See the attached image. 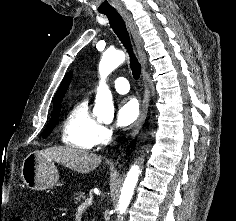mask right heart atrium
Listing matches in <instances>:
<instances>
[{
  "mask_svg": "<svg viewBox=\"0 0 236 221\" xmlns=\"http://www.w3.org/2000/svg\"><path fill=\"white\" fill-rule=\"evenodd\" d=\"M112 136V129L109 126L100 124L97 133V144H103L108 141Z\"/></svg>",
  "mask_w": 236,
  "mask_h": 221,
  "instance_id": "obj_1",
  "label": "right heart atrium"
}]
</instances>
